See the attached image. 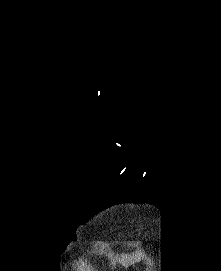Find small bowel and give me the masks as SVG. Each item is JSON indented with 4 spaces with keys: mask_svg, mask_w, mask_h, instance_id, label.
I'll return each mask as SVG.
<instances>
[{
    "mask_svg": "<svg viewBox=\"0 0 221 271\" xmlns=\"http://www.w3.org/2000/svg\"><path fill=\"white\" fill-rule=\"evenodd\" d=\"M143 257V252H137L132 255H116L111 263V270H113L116 264L121 266H130L136 262H139Z\"/></svg>",
    "mask_w": 221,
    "mask_h": 271,
    "instance_id": "1",
    "label": "small bowel"
}]
</instances>
